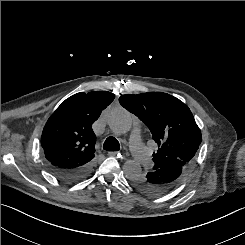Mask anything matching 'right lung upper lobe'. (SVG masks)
<instances>
[{
  "label": "right lung upper lobe",
  "instance_id": "right-lung-upper-lobe-1",
  "mask_svg": "<svg viewBox=\"0 0 245 245\" xmlns=\"http://www.w3.org/2000/svg\"><path fill=\"white\" fill-rule=\"evenodd\" d=\"M114 98L106 91L80 92L62 102L42 132L46 164L76 169L92 163L96 136L91 126Z\"/></svg>",
  "mask_w": 245,
  "mask_h": 245
}]
</instances>
